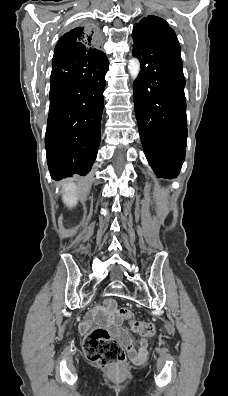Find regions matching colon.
Here are the masks:
<instances>
[{
    "label": "colon",
    "mask_w": 228,
    "mask_h": 396,
    "mask_svg": "<svg viewBox=\"0 0 228 396\" xmlns=\"http://www.w3.org/2000/svg\"><path fill=\"white\" fill-rule=\"evenodd\" d=\"M118 314L129 323L134 332L147 337L155 333L154 324L134 320L128 308H120ZM83 348L87 358L101 367L118 368L125 361V352L121 344L111 336L107 329L102 327L94 329L88 335Z\"/></svg>",
    "instance_id": "1"
}]
</instances>
